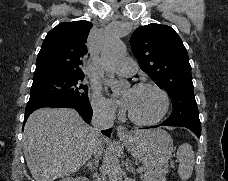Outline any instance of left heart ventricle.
<instances>
[{"mask_svg":"<svg viewBox=\"0 0 228 181\" xmlns=\"http://www.w3.org/2000/svg\"><path fill=\"white\" fill-rule=\"evenodd\" d=\"M120 79L128 80L125 76H118L117 80ZM122 92L129 99V111L139 119L152 118L161 106L160 95L154 89L147 87L133 89L128 81V86Z\"/></svg>","mask_w":228,"mask_h":181,"instance_id":"obj_1","label":"left heart ventricle"}]
</instances>
